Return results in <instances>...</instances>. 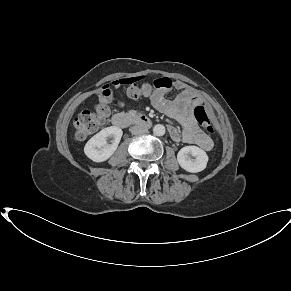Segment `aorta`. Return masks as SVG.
<instances>
[{"mask_svg":"<svg viewBox=\"0 0 291 291\" xmlns=\"http://www.w3.org/2000/svg\"><path fill=\"white\" fill-rule=\"evenodd\" d=\"M153 133L156 136H163L165 134V127L161 124H157L153 127Z\"/></svg>","mask_w":291,"mask_h":291,"instance_id":"762f6f07","label":"aorta"}]
</instances>
